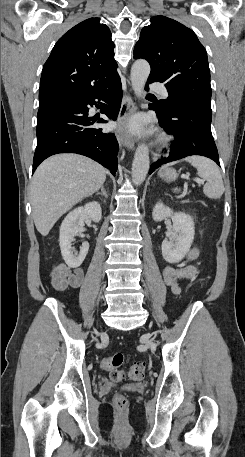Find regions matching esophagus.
<instances>
[{
    "mask_svg": "<svg viewBox=\"0 0 245 457\" xmlns=\"http://www.w3.org/2000/svg\"><path fill=\"white\" fill-rule=\"evenodd\" d=\"M136 110V105L129 95H124L117 119L116 137L118 142L128 149H134V137L127 124L130 115Z\"/></svg>",
    "mask_w": 245,
    "mask_h": 457,
    "instance_id": "1",
    "label": "esophagus"
}]
</instances>
